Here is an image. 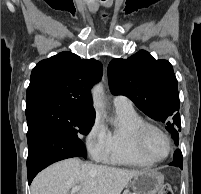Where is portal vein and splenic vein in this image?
Returning <instances> with one entry per match:
<instances>
[{
  "instance_id": "obj_1",
  "label": "portal vein and splenic vein",
  "mask_w": 201,
  "mask_h": 194,
  "mask_svg": "<svg viewBox=\"0 0 201 194\" xmlns=\"http://www.w3.org/2000/svg\"><path fill=\"white\" fill-rule=\"evenodd\" d=\"M80 190H81V186H75L71 189V194H76Z\"/></svg>"
}]
</instances>
